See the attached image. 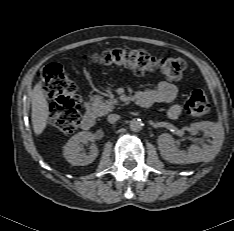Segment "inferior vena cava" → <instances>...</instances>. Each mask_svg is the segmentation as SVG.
<instances>
[{
    "mask_svg": "<svg viewBox=\"0 0 234 231\" xmlns=\"http://www.w3.org/2000/svg\"><path fill=\"white\" fill-rule=\"evenodd\" d=\"M108 122L111 124H114L115 122H117L120 119V116L117 114H110L108 115Z\"/></svg>",
    "mask_w": 234,
    "mask_h": 231,
    "instance_id": "obj_1",
    "label": "inferior vena cava"
}]
</instances>
